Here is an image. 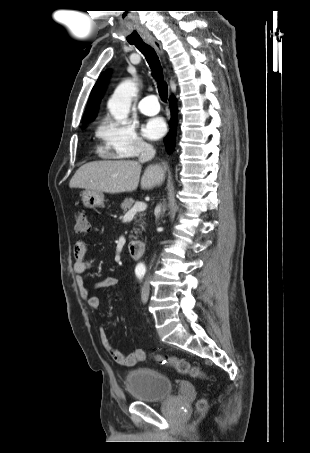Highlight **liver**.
<instances>
[{"instance_id":"1","label":"liver","mask_w":310,"mask_h":453,"mask_svg":"<svg viewBox=\"0 0 310 453\" xmlns=\"http://www.w3.org/2000/svg\"><path fill=\"white\" fill-rule=\"evenodd\" d=\"M141 169V164L134 160L88 162L76 171L69 187L110 194L133 192L139 185ZM164 179L165 169L162 165H149L141 177V188L150 190L160 186Z\"/></svg>"}]
</instances>
